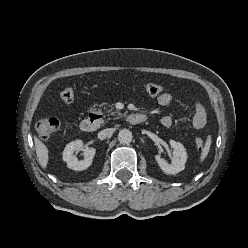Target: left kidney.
Returning <instances> with one entry per match:
<instances>
[{
  "mask_svg": "<svg viewBox=\"0 0 248 248\" xmlns=\"http://www.w3.org/2000/svg\"><path fill=\"white\" fill-rule=\"evenodd\" d=\"M170 145L173 148L172 163L169 164L167 161H165V159L161 158L159 155L155 156V160L157 161L158 165L164 173L175 175L178 172L184 170L185 163L187 161V152L183 144L179 142L171 140Z\"/></svg>",
  "mask_w": 248,
  "mask_h": 248,
  "instance_id": "obj_1",
  "label": "left kidney"
}]
</instances>
